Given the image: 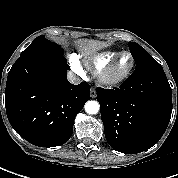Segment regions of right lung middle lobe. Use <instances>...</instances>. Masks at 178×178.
I'll return each instance as SVG.
<instances>
[{"instance_id":"right-lung-middle-lobe-1","label":"right lung middle lobe","mask_w":178,"mask_h":178,"mask_svg":"<svg viewBox=\"0 0 178 178\" xmlns=\"http://www.w3.org/2000/svg\"><path fill=\"white\" fill-rule=\"evenodd\" d=\"M63 56V49L40 35L20 54L19 58L25 57H50Z\"/></svg>"}]
</instances>
